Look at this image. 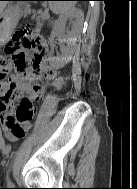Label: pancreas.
<instances>
[{
	"mask_svg": "<svg viewBox=\"0 0 137 189\" xmlns=\"http://www.w3.org/2000/svg\"><path fill=\"white\" fill-rule=\"evenodd\" d=\"M41 18L42 20H45L48 18V14L45 12L41 16L38 17V19Z\"/></svg>",
	"mask_w": 137,
	"mask_h": 189,
	"instance_id": "cf45deb5",
	"label": "pancreas"
}]
</instances>
